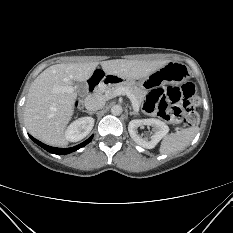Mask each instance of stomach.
I'll list each match as a JSON object with an SVG mask.
<instances>
[{
    "label": "stomach",
    "mask_w": 233,
    "mask_h": 233,
    "mask_svg": "<svg viewBox=\"0 0 233 233\" xmlns=\"http://www.w3.org/2000/svg\"><path fill=\"white\" fill-rule=\"evenodd\" d=\"M189 69L182 63L179 62H168L157 71L153 72L147 79L143 78L139 82L134 80H126L116 76L120 83L118 84H128L135 87L140 85L146 89L156 88L159 85H164L165 83L179 84L185 81L189 77Z\"/></svg>",
    "instance_id": "1"
}]
</instances>
